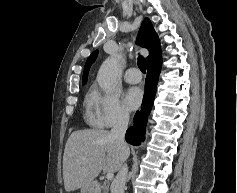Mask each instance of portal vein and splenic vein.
Returning a JSON list of instances; mask_svg holds the SVG:
<instances>
[{
	"instance_id": "portal-vein-and-splenic-vein-1",
	"label": "portal vein and splenic vein",
	"mask_w": 237,
	"mask_h": 193,
	"mask_svg": "<svg viewBox=\"0 0 237 193\" xmlns=\"http://www.w3.org/2000/svg\"><path fill=\"white\" fill-rule=\"evenodd\" d=\"M113 177H114V174L112 172H107V174H106L107 180H112Z\"/></svg>"
}]
</instances>
